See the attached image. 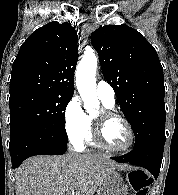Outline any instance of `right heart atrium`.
<instances>
[{"label": "right heart atrium", "mask_w": 178, "mask_h": 195, "mask_svg": "<svg viewBox=\"0 0 178 195\" xmlns=\"http://www.w3.org/2000/svg\"><path fill=\"white\" fill-rule=\"evenodd\" d=\"M64 128L72 143L81 145L86 141L89 133V119L78 96H73L65 107Z\"/></svg>", "instance_id": "d8ad5b80"}]
</instances>
